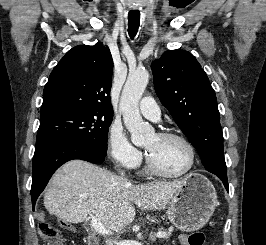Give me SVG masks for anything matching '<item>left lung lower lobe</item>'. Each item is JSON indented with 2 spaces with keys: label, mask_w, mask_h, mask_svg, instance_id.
<instances>
[{
  "label": "left lung lower lobe",
  "mask_w": 266,
  "mask_h": 245,
  "mask_svg": "<svg viewBox=\"0 0 266 245\" xmlns=\"http://www.w3.org/2000/svg\"><path fill=\"white\" fill-rule=\"evenodd\" d=\"M218 177L221 179V181L223 182L226 190L229 192L227 175H218Z\"/></svg>",
  "instance_id": "left-lung-lower-lobe-1"
}]
</instances>
